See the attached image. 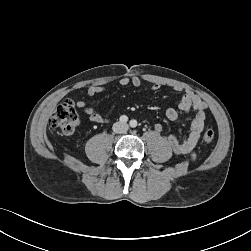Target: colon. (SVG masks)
I'll list each match as a JSON object with an SVG mask.
<instances>
[{
  "instance_id": "5ec220e1",
  "label": "colon",
  "mask_w": 251,
  "mask_h": 251,
  "mask_svg": "<svg viewBox=\"0 0 251 251\" xmlns=\"http://www.w3.org/2000/svg\"><path fill=\"white\" fill-rule=\"evenodd\" d=\"M50 128L52 130H61L67 134L76 132L78 127V116L75 102L71 99L65 100L57 106L51 115ZM215 133L211 129H207L203 133V139L207 144L214 141Z\"/></svg>"
}]
</instances>
